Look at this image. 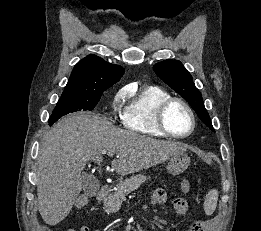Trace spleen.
I'll use <instances>...</instances> for the list:
<instances>
[{
    "label": "spleen",
    "mask_w": 261,
    "mask_h": 231,
    "mask_svg": "<svg viewBox=\"0 0 261 231\" xmlns=\"http://www.w3.org/2000/svg\"><path fill=\"white\" fill-rule=\"evenodd\" d=\"M218 201V191L215 189L210 190L205 197L204 210L206 214H212L216 209Z\"/></svg>",
    "instance_id": "spleen-1"
}]
</instances>
